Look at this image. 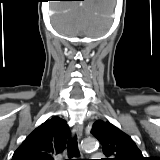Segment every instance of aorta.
<instances>
[{
	"instance_id": "1",
	"label": "aorta",
	"mask_w": 160,
	"mask_h": 160,
	"mask_svg": "<svg viewBox=\"0 0 160 160\" xmlns=\"http://www.w3.org/2000/svg\"><path fill=\"white\" fill-rule=\"evenodd\" d=\"M97 146V141L94 138H87L82 143V148L84 150H90Z\"/></svg>"
}]
</instances>
